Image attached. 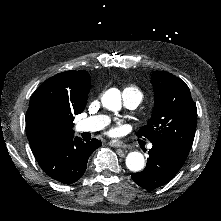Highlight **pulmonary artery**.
<instances>
[{
    "label": "pulmonary artery",
    "instance_id": "obj_1",
    "mask_svg": "<svg viewBox=\"0 0 221 221\" xmlns=\"http://www.w3.org/2000/svg\"><path fill=\"white\" fill-rule=\"evenodd\" d=\"M120 102L127 109H134L140 104L142 99V91L140 87H123L120 92ZM130 97V98H129ZM89 122H95L98 128H103L108 122V118L105 116L91 117L80 122V130H83V126Z\"/></svg>",
    "mask_w": 221,
    "mask_h": 221
}]
</instances>
